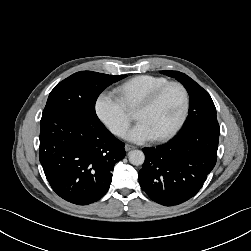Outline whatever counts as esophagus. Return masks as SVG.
Returning <instances> with one entry per match:
<instances>
[{
    "instance_id": "esophagus-1",
    "label": "esophagus",
    "mask_w": 251,
    "mask_h": 251,
    "mask_svg": "<svg viewBox=\"0 0 251 251\" xmlns=\"http://www.w3.org/2000/svg\"><path fill=\"white\" fill-rule=\"evenodd\" d=\"M135 147L134 146H132V145H129V144H126L125 145V150L126 151H130V150H132V149H134Z\"/></svg>"
}]
</instances>
